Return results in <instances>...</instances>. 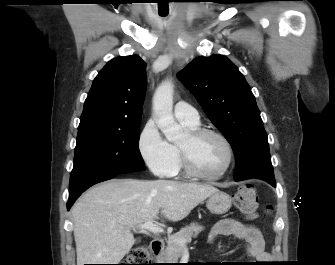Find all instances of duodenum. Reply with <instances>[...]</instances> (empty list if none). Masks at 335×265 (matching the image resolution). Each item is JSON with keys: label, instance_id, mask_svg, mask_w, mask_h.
<instances>
[{"label": "duodenum", "instance_id": "duodenum-1", "mask_svg": "<svg viewBox=\"0 0 335 265\" xmlns=\"http://www.w3.org/2000/svg\"><path fill=\"white\" fill-rule=\"evenodd\" d=\"M164 248V240L162 238H155L150 243V249L154 256H158Z\"/></svg>", "mask_w": 335, "mask_h": 265}]
</instances>
